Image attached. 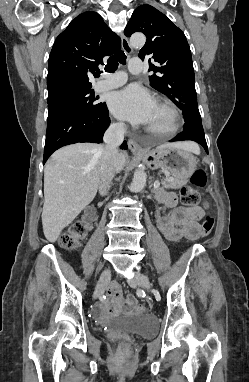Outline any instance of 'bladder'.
<instances>
[{
    "label": "bladder",
    "instance_id": "31cf9c89",
    "mask_svg": "<svg viewBox=\"0 0 249 382\" xmlns=\"http://www.w3.org/2000/svg\"><path fill=\"white\" fill-rule=\"evenodd\" d=\"M111 326L126 333L150 337L157 332V319L146 313L120 316L110 321Z\"/></svg>",
    "mask_w": 249,
    "mask_h": 382
}]
</instances>
